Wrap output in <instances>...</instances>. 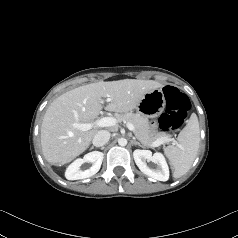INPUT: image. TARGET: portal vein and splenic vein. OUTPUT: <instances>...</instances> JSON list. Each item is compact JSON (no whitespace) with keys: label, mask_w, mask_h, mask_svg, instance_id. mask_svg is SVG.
Wrapping results in <instances>:
<instances>
[{"label":"portal vein and splenic vein","mask_w":238,"mask_h":238,"mask_svg":"<svg viewBox=\"0 0 238 238\" xmlns=\"http://www.w3.org/2000/svg\"><path fill=\"white\" fill-rule=\"evenodd\" d=\"M106 101L108 102L109 100L107 99ZM117 122H118L117 119L113 117H103L101 119L94 121L93 123L74 124V126L79 128L81 131H88L97 127L115 126ZM126 126L130 131L135 130V127L131 123H127ZM170 141L175 142L173 139L170 138L159 139L152 144V147H158L159 145Z\"/></svg>","instance_id":"obj_1"}]
</instances>
